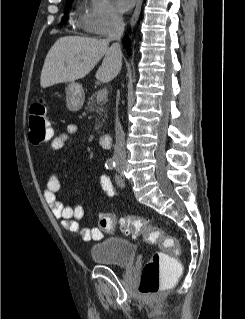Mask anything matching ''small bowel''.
Here are the masks:
<instances>
[{
    "instance_id": "1",
    "label": "small bowel",
    "mask_w": 245,
    "mask_h": 319,
    "mask_svg": "<svg viewBox=\"0 0 245 319\" xmlns=\"http://www.w3.org/2000/svg\"><path fill=\"white\" fill-rule=\"evenodd\" d=\"M77 131L78 128L76 125H68L64 131L54 137L50 145L51 150L57 151L62 148L70 136L74 135ZM100 185L107 197H116L117 193L110 178L106 174L100 175ZM60 188L61 181L59 176L56 173L50 174L43 195L54 217L61 221V226L69 232L80 234L81 237L88 242H95L102 239L104 237V231L100 227L80 229L79 221L84 216V207L80 202L75 205H70L59 201L57 195ZM75 192L78 195L80 193L77 188H75Z\"/></svg>"
}]
</instances>
